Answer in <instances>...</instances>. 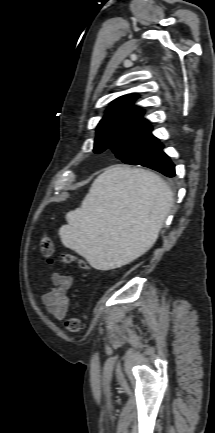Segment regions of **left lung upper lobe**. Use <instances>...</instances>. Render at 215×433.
Here are the masks:
<instances>
[{
  "instance_id": "1",
  "label": "left lung upper lobe",
  "mask_w": 215,
  "mask_h": 433,
  "mask_svg": "<svg viewBox=\"0 0 215 433\" xmlns=\"http://www.w3.org/2000/svg\"><path fill=\"white\" fill-rule=\"evenodd\" d=\"M135 96L126 95L111 102L97 127L94 152L109 148L126 164L156 169L162 162L164 145L151 133L144 111L133 105Z\"/></svg>"
}]
</instances>
